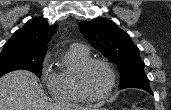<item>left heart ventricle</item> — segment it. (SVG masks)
Instances as JSON below:
<instances>
[{"label":"left heart ventricle","instance_id":"obj_1","mask_svg":"<svg viewBox=\"0 0 171 110\" xmlns=\"http://www.w3.org/2000/svg\"><path fill=\"white\" fill-rule=\"evenodd\" d=\"M110 82L108 70L100 64L92 65L85 75V86L94 96L105 93L110 87Z\"/></svg>","mask_w":171,"mask_h":110}]
</instances>
